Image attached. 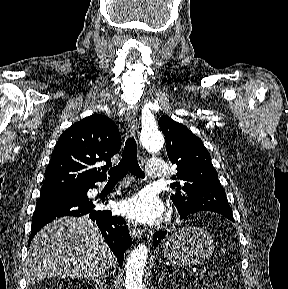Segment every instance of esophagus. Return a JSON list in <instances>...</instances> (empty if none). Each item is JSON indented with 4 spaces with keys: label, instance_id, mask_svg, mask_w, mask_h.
I'll return each instance as SVG.
<instances>
[{
    "label": "esophagus",
    "instance_id": "1",
    "mask_svg": "<svg viewBox=\"0 0 288 289\" xmlns=\"http://www.w3.org/2000/svg\"><path fill=\"white\" fill-rule=\"evenodd\" d=\"M137 110L135 108H130L127 112H126V121H127V125L129 128V131L132 134H135L136 130H137ZM128 227L130 230V234L132 235L133 238L135 239H140L142 237V230L140 228H138L135 224L131 223L130 221H128Z\"/></svg>",
    "mask_w": 288,
    "mask_h": 289
}]
</instances>
